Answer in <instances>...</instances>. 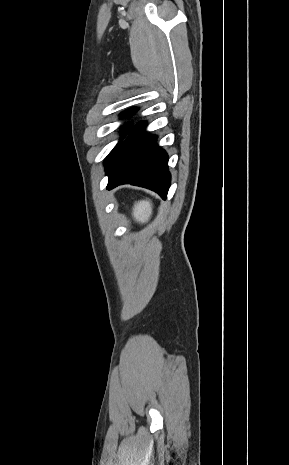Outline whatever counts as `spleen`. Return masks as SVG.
I'll use <instances>...</instances> for the list:
<instances>
[{
	"mask_svg": "<svg viewBox=\"0 0 289 465\" xmlns=\"http://www.w3.org/2000/svg\"><path fill=\"white\" fill-rule=\"evenodd\" d=\"M152 215V203L150 200H140L135 202L132 209V216L136 222L147 223Z\"/></svg>",
	"mask_w": 289,
	"mask_h": 465,
	"instance_id": "1",
	"label": "spleen"
}]
</instances>
